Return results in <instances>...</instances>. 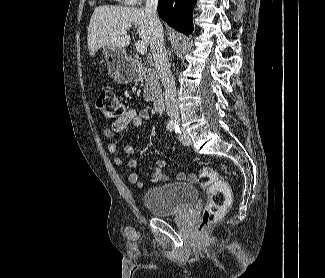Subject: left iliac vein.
Returning <instances> with one entry per match:
<instances>
[{
  "label": "left iliac vein",
  "mask_w": 325,
  "mask_h": 278,
  "mask_svg": "<svg viewBox=\"0 0 325 278\" xmlns=\"http://www.w3.org/2000/svg\"><path fill=\"white\" fill-rule=\"evenodd\" d=\"M180 141L183 145L185 146H189L191 145V139L190 137L186 134V133H183L180 137Z\"/></svg>",
  "instance_id": "1"
}]
</instances>
